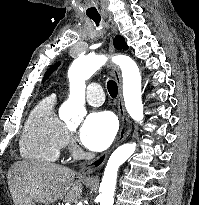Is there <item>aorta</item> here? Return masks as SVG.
Returning a JSON list of instances; mask_svg holds the SVG:
<instances>
[{"mask_svg": "<svg viewBox=\"0 0 199 205\" xmlns=\"http://www.w3.org/2000/svg\"><path fill=\"white\" fill-rule=\"evenodd\" d=\"M107 61L103 55L79 56L73 61L69 70L70 94L63 108L75 122H80L84 115L85 82ZM113 62L119 65L123 78V96L125 107L129 115L138 122H142L143 104L141 100V75L136 62L129 56L118 55ZM136 150L135 143H128L118 147L110 156L102 182L100 184V205H113L119 167L130 158Z\"/></svg>", "mask_w": 199, "mask_h": 205, "instance_id": "obj_1", "label": "aorta"}]
</instances>
